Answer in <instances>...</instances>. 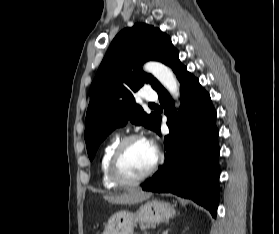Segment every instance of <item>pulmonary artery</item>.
<instances>
[{"label": "pulmonary artery", "mask_w": 279, "mask_h": 234, "mask_svg": "<svg viewBox=\"0 0 279 234\" xmlns=\"http://www.w3.org/2000/svg\"><path fill=\"white\" fill-rule=\"evenodd\" d=\"M142 98L145 101H154L157 99V94L152 91H144L142 94Z\"/></svg>", "instance_id": "pulmonary-artery-1"}]
</instances>
